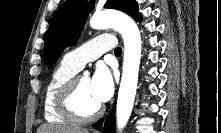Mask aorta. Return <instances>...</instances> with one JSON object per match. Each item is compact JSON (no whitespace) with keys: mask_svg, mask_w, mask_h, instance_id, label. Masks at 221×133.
<instances>
[{"mask_svg":"<svg viewBox=\"0 0 221 133\" xmlns=\"http://www.w3.org/2000/svg\"><path fill=\"white\" fill-rule=\"evenodd\" d=\"M94 29L113 28L124 41V58L121 83L117 98L116 121L119 132L126 126L135 100L141 59V36L139 29L129 16L117 11L95 13L90 19Z\"/></svg>","mask_w":221,"mask_h":133,"instance_id":"1","label":"aorta"}]
</instances>
